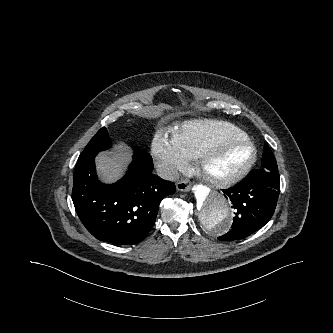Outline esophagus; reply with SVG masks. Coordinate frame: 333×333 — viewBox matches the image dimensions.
<instances>
[{
	"label": "esophagus",
	"mask_w": 333,
	"mask_h": 333,
	"mask_svg": "<svg viewBox=\"0 0 333 333\" xmlns=\"http://www.w3.org/2000/svg\"><path fill=\"white\" fill-rule=\"evenodd\" d=\"M176 188L180 192H186L189 191V186L185 181H179L176 184Z\"/></svg>",
	"instance_id": "1"
}]
</instances>
